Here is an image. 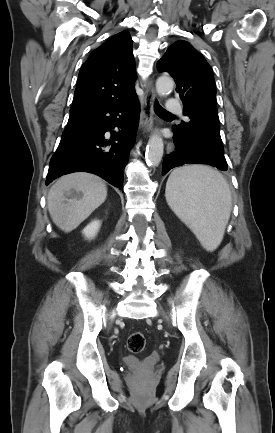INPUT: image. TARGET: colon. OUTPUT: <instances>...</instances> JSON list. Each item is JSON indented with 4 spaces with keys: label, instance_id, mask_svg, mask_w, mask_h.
<instances>
[{
    "label": "colon",
    "instance_id": "5ec220e1",
    "mask_svg": "<svg viewBox=\"0 0 275 433\" xmlns=\"http://www.w3.org/2000/svg\"><path fill=\"white\" fill-rule=\"evenodd\" d=\"M127 349L134 354L140 353L145 347V336L141 331L132 332L127 338Z\"/></svg>",
    "mask_w": 275,
    "mask_h": 433
}]
</instances>
